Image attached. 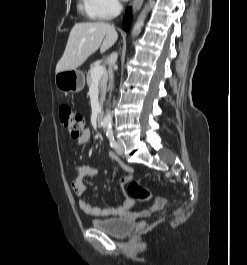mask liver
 <instances>
[{"mask_svg":"<svg viewBox=\"0 0 247 265\" xmlns=\"http://www.w3.org/2000/svg\"><path fill=\"white\" fill-rule=\"evenodd\" d=\"M117 39L118 33L108 23H76L71 29L63 56L56 65V73L77 69L99 48L104 53Z\"/></svg>","mask_w":247,"mask_h":265,"instance_id":"1","label":"liver"}]
</instances>
